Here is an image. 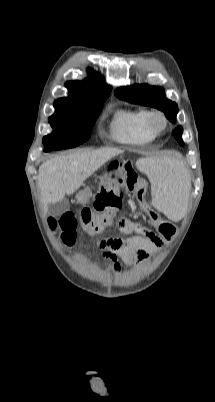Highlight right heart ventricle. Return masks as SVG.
<instances>
[{
  "instance_id": "obj_1",
  "label": "right heart ventricle",
  "mask_w": 215,
  "mask_h": 402,
  "mask_svg": "<svg viewBox=\"0 0 215 402\" xmlns=\"http://www.w3.org/2000/svg\"><path fill=\"white\" fill-rule=\"evenodd\" d=\"M147 112L138 108L117 109L110 123L112 140L119 144L131 146L152 142L156 135L146 125Z\"/></svg>"
}]
</instances>
